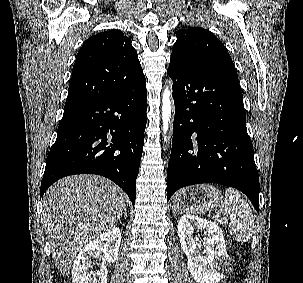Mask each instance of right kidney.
I'll return each mask as SVG.
<instances>
[{"mask_svg": "<svg viewBox=\"0 0 303 283\" xmlns=\"http://www.w3.org/2000/svg\"><path fill=\"white\" fill-rule=\"evenodd\" d=\"M121 243L119 228H113L99 235L82 248L74 260L72 269L73 283H107V268L104 263L113 264L118 257ZM103 253V264L97 271H88L91 257Z\"/></svg>", "mask_w": 303, "mask_h": 283, "instance_id": "1", "label": "right kidney"}]
</instances>
